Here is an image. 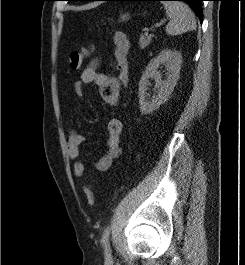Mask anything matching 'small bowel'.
<instances>
[{
	"label": "small bowel",
	"instance_id": "1",
	"mask_svg": "<svg viewBox=\"0 0 245 265\" xmlns=\"http://www.w3.org/2000/svg\"><path fill=\"white\" fill-rule=\"evenodd\" d=\"M100 59H93L82 71L80 80L74 84V93L78 97L85 94L84 86L96 85L102 99L110 106H117L120 99L121 84L119 79L107 73L98 71ZM116 68L117 63L113 64ZM123 124L120 119L113 118L107 126L108 136L106 139V153L99 157L94 163L97 171H106L113 160L121 154V134ZM84 136L76 130H70L66 139V147L69 159L73 161V172L75 176H82L85 170L84 164L78 160L79 147L84 142Z\"/></svg>",
	"mask_w": 245,
	"mask_h": 265
}]
</instances>
